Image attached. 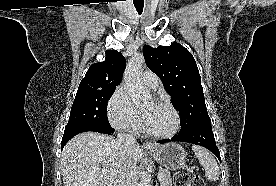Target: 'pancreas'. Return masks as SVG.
<instances>
[{"mask_svg":"<svg viewBox=\"0 0 276 186\" xmlns=\"http://www.w3.org/2000/svg\"><path fill=\"white\" fill-rule=\"evenodd\" d=\"M163 173V178L160 180V186H172L171 173L168 170L160 171Z\"/></svg>","mask_w":276,"mask_h":186,"instance_id":"obj_1","label":"pancreas"}]
</instances>
